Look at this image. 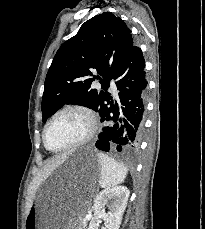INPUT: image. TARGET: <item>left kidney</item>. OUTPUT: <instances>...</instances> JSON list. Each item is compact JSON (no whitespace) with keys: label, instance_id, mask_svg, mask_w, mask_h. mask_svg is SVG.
<instances>
[{"label":"left kidney","instance_id":"1","mask_svg":"<svg viewBox=\"0 0 205 229\" xmlns=\"http://www.w3.org/2000/svg\"><path fill=\"white\" fill-rule=\"evenodd\" d=\"M129 190L125 186H115L102 190L94 201L92 218L88 229H98L99 219H103L107 229H119L122 216L129 198ZM105 206L109 211L105 213Z\"/></svg>","mask_w":205,"mask_h":229}]
</instances>
